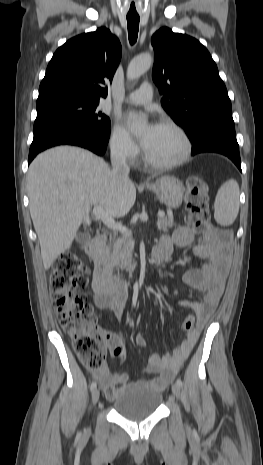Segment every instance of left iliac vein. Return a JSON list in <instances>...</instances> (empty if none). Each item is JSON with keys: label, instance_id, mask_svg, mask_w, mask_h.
Returning a JSON list of instances; mask_svg holds the SVG:
<instances>
[{"label": "left iliac vein", "instance_id": "1", "mask_svg": "<svg viewBox=\"0 0 263 465\" xmlns=\"http://www.w3.org/2000/svg\"><path fill=\"white\" fill-rule=\"evenodd\" d=\"M172 392L177 399L180 398L181 391L177 383L172 385Z\"/></svg>", "mask_w": 263, "mask_h": 465}]
</instances>
